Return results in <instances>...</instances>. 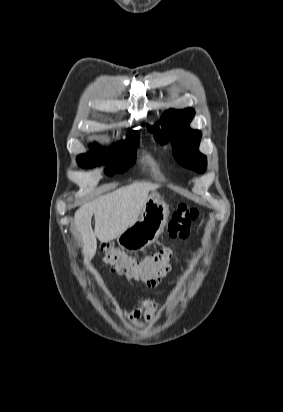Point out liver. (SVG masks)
Masks as SVG:
<instances>
[{"label":"liver","mask_w":283,"mask_h":412,"mask_svg":"<svg viewBox=\"0 0 283 412\" xmlns=\"http://www.w3.org/2000/svg\"><path fill=\"white\" fill-rule=\"evenodd\" d=\"M157 185L140 182L121 187L106 195L82 205L74 215L77 231L82 241L84 262L87 264L94 257L98 238L107 243L121 235L138 220L149 197V192ZM95 217L94 231L91 226Z\"/></svg>","instance_id":"6515ba94"}]
</instances>
